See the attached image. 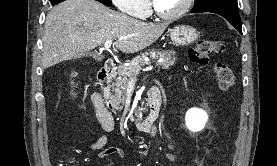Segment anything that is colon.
<instances>
[{"instance_id":"5ec220e1","label":"colon","mask_w":277,"mask_h":166,"mask_svg":"<svg viewBox=\"0 0 277 166\" xmlns=\"http://www.w3.org/2000/svg\"><path fill=\"white\" fill-rule=\"evenodd\" d=\"M225 44L216 39L201 38L189 50L190 60L199 66H208L213 55L222 53ZM213 76L222 91L229 90L234 83V73L225 63L216 62L212 66ZM74 76V73H72Z\"/></svg>"}]
</instances>
